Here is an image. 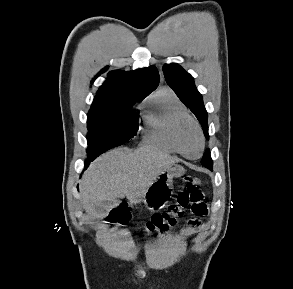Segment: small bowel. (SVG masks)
I'll return each mask as SVG.
<instances>
[{"instance_id":"c3829d8e","label":"small bowel","mask_w":293,"mask_h":289,"mask_svg":"<svg viewBox=\"0 0 293 289\" xmlns=\"http://www.w3.org/2000/svg\"><path fill=\"white\" fill-rule=\"evenodd\" d=\"M194 224H200V222L198 220H195Z\"/></svg>"}]
</instances>
